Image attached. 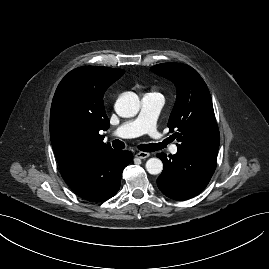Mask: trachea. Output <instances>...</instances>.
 <instances>
[{"label": "trachea", "mask_w": 269, "mask_h": 269, "mask_svg": "<svg viewBox=\"0 0 269 269\" xmlns=\"http://www.w3.org/2000/svg\"><path fill=\"white\" fill-rule=\"evenodd\" d=\"M112 146L116 149H124L125 144L120 140L112 141ZM165 145L162 143H151V144H140L138 149L144 152H154L164 148Z\"/></svg>", "instance_id": "3493384b"}]
</instances>
